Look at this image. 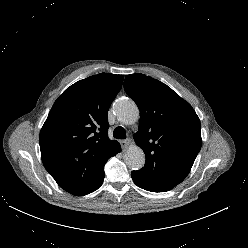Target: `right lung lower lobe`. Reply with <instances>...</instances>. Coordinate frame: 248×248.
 Instances as JSON below:
<instances>
[{"mask_svg":"<svg viewBox=\"0 0 248 248\" xmlns=\"http://www.w3.org/2000/svg\"><path fill=\"white\" fill-rule=\"evenodd\" d=\"M120 151H121V146H120L119 149L117 150V153L120 152ZM117 153H116V154H117ZM102 183H103V180L98 184V186H97L93 191H95L96 189H98V188L101 186ZM93 191H92V192H93Z\"/></svg>","mask_w":248,"mask_h":248,"instance_id":"obj_1","label":"right lung lower lobe"}]
</instances>
